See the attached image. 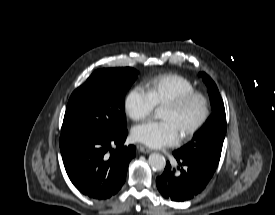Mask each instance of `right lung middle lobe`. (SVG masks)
<instances>
[{"label": "right lung middle lobe", "mask_w": 275, "mask_h": 215, "mask_svg": "<svg viewBox=\"0 0 275 215\" xmlns=\"http://www.w3.org/2000/svg\"><path fill=\"white\" fill-rule=\"evenodd\" d=\"M138 72L130 67L99 69L71 95L61 136H106L126 129L124 97Z\"/></svg>", "instance_id": "1"}]
</instances>
